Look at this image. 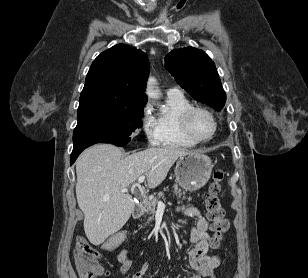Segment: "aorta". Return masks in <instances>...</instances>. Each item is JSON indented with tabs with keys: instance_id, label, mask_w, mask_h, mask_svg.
<instances>
[{
	"instance_id": "1",
	"label": "aorta",
	"mask_w": 308,
	"mask_h": 278,
	"mask_svg": "<svg viewBox=\"0 0 308 278\" xmlns=\"http://www.w3.org/2000/svg\"><path fill=\"white\" fill-rule=\"evenodd\" d=\"M155 84H156V79L150 77L148 79V82H147V87H146V94L149 96V97H158V93L157 91L154 89L155 88Z\"/></svg>"
}]
</instances>
